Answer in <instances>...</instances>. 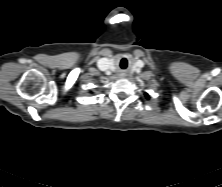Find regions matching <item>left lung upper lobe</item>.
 I'll use <instances>...</instances> for the list:
<instances>
[{"mask_svg": "<svg viewBox=\"0 0 222 187\" xmlns=\"http://www.w3.org/2000/svg\"><path fill=\"white\" fill-rule=\"evenodd\" d=\"M145 95H146V97H148V94H147V93H145Z\"/></svg>", "mask_w": 222, "mask_h": 187, "instance_id": "obj_1", "label": "left lung upper lobe"}]
</instances>
